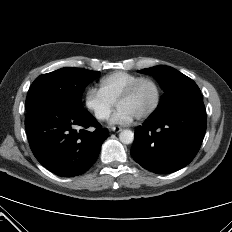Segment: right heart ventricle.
Here are the masks:
<instances>
[{"label":"right heart ventricle","mask_w":232,"mask_h":232,"mask_svg":"<svg viewBox=\"0 0 232 232\" xmlns=\"http://www.w3.org/2000/svg\"><path fill=\"white\" fill-rule=\"evenodd\" d=\"M140 77V75L124 71L113 72L99 80V91L110 102L115 103L124 91Z\"/></svg>","instance_id":"1"}]
</instances>
